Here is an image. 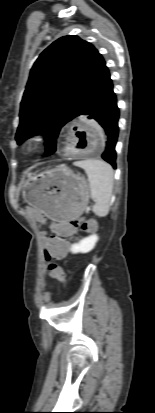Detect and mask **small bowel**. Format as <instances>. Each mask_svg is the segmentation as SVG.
<instances>
[{"label":"small bowel","instance_id":"c3829d8e","mask_svg":"<svg viewBox=\"0 0 155 413\" xmlns=\"http://www.w3.org/2000/svg\"><path fill=\"white\" fill-rule=\"evenodd\" d=\"M25 211L27 214H30L31 216L35 215L36 208L34 205H27L25 208ZM34 220L36 223H44L46 220V217L44 214H36L34 217ZM48 230L54 231L56 230L57 233L65 236H69L74 233V230H71L67 228L64 224L60 225L57 227L56 223L50 222L47 225Z\"/></svg>","mask_w":155,"mask_h":413}]
</instances>
